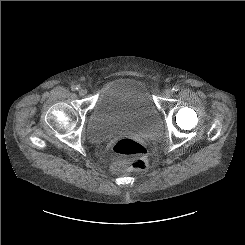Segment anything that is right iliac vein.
I'll return each instance as SVG.
<instances>
[{"instance_id": "63e3f726", "label": "right iliac vein", "mask_w": 245, "mask_h": 245, "mask_svg": "<svg viewBox=\"0 0 245 245\" xmlns=\"http://www.w3.org/2000/svg\"><path fill=\"white\" fill-rule=\"evenodd\" d=\"M78 93L80 96H85L87 94L86 88H79Z\"/></svg>"}]
</instances>
